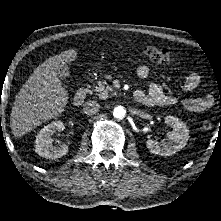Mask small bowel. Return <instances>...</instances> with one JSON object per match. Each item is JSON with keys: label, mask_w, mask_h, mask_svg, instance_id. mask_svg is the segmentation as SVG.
Segmentation results:
<instances>
[{"label": "small bowel", "mask_w": 221, "mask_h": 221, "mask_svg": "<svg viewBox=\"0 0 221 221\" xmlns=\"http://www.w3.org/2000/svg\"><path fill=\"white\" fill-rule=\"evenodd\" d=\"M150 68L142 64L137 68V75L145 79L149 76ZM200 84V76L195 73H189L184 81L183 89L186 92L193 91ZM138 96L135 100L145 106H168L176 104L179 99L167 94L158 84H150L146 91L138 90ZM214 99L208 95L205 97H186L181 100L183 107L191 112H203L213 105Z\"/></svg>", "instance_id": "c3829d8e"}]
</instances>
